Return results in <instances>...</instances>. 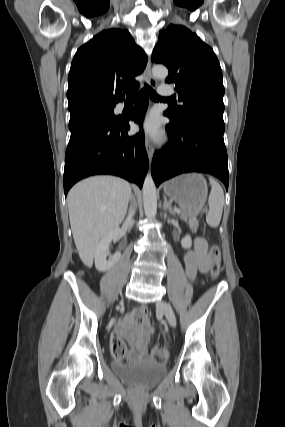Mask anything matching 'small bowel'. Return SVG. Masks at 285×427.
<instances>
[{"label": "small bowel", "mask_w": 285, "mask_h": 427, "mask_svg": "<svg viewBox=\"0 0 285 427\" xmlns=\"http://www.w3.org/2000/svg\"><path fill=\"white\" fill-rule=\"evenodd\" d=\"M207 250V241L202 237H196L193 249L185 254V271L190 280H194L199 272L209 270L212 260ZM147 314V308L139 306L128 313L117 325V331L113 337L126 336L130 346L125 361L149 360V337L153 329Z\"/></svg>", "instance_id": "small-bowel-1"}]
</instances>
